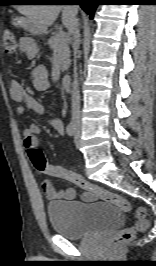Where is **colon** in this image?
Masks as SVG:
<instances>
[{
	"instance_id": "obj_1",
	"label": "colon",
	"mask_w": 156,
	"mask_h": 266,
	"mask_svg": "<svg viewBox=\"0 0 156 266\" xmlns=\"http://www.w3.org/2000/svg\"><path fill=\"white\" fill-rule=\"evenodd\" d=\"M2 46L8 55H12L16 51L17 40L13 31L6 29L3 32ZM28 155L33 167L38 173L49 174L68 180L82 188L85 192L117 206L126 213H132L135 216L136 222L132 227L122 230L118 235L110 239L108 242L109 249H116L119 245L132 240L137 233L143 232L148 228L149 222L144 207H134L125 197L87 181L83 176L76 172L62 166L49 165L43 152L38 148L30 150Z\"/></svg>"
}]
</instances>
